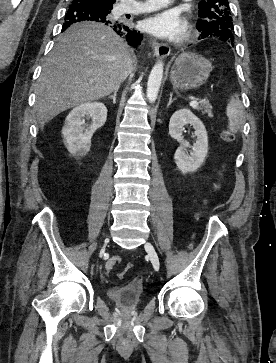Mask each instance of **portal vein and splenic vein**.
Segmentation results:
<instances>
[{"label":"portal vein and splenic vein","mask_w":276,"mask_h":363,"mask_svg":"<svg viewBox=\"0 0 276 363\" xmlns=\"http://www.w3.org/2000/svg\"><path fill=\"white\" fill-rule=\"evenodd\" d=\"M197 105H198V102L196 100H192L190 102V106H192V107H196Z\"/></svg>","instance_id":"obj_1"}]
</instances>
